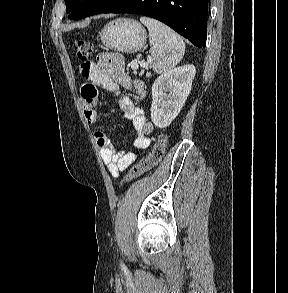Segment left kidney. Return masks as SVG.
<instances>
[{
    "label": "left kidney",
    "instance_id": "5707ae66",
    "mask_svg": "<svg viewBox=\"0 0 288 293\" xmlns=\"http://www.w3.org/2000/svg\"><path fill=\"white\" fill-rule=\"evenodd\" d=\"M196 70L184 65L159 76L152 85L151 119L158 128H165L180 113L192 87Z\"/></svg>",
    "mask_w": 288,
    "mask_h": 293
}]
</instances>
